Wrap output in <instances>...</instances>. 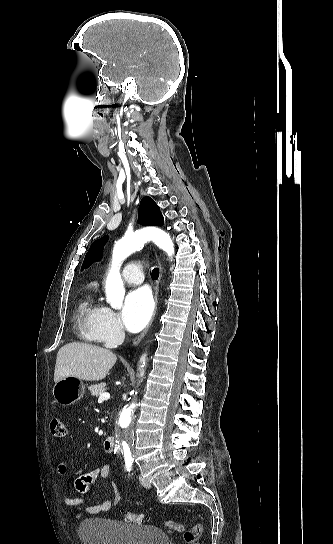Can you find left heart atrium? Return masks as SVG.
Listing matches in <instances>:
<instances>
[{
  "label": "left heart atrium",
  "mask_w": 333,
  "mask_h": 544,
  "mask_svg": "<svg viewBox=\"0 0 333 544\" xmlns=\"http://www.w3.org/2000/svg\"><path fill=\"white\" fill-rule=\"evenodd\" d=\"M153 311V299L147 288L131 291L124 302L122 320L130 332L140 331L149 321Z\"/></svg>",
  "instance_id": "1"
}]
</instances>
